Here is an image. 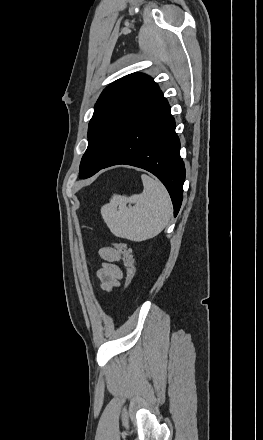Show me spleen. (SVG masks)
I'll return each instance as SVG.
<instances>
[{
  "label": "spleen",
  "mask_w": 263,
  "mask_h": 440,
  "mask_svg": "<svg viewBox=\"0 0 263 440\" xmlns=\"http://www.w3.org/2000/svg\"><path fill=\"white\" fill-rule=\"evenodd\" d=\"M141 179L144 187L141 194L113 195L101 208L102 217L114 235L136 242L158 235L168 224L173 210L170 196L160 181L146 174Z\"/></svg>",
  "instance_id": "1"
}]
</instances>
